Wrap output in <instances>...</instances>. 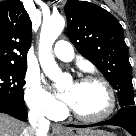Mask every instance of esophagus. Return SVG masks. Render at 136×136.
Returning a JSON list of instances; mask_svg holds the SVG:
<instances>
[{"label":"esophagus","instance_id":"34e87169","mask_svg":"<svg viewBox=\"0 0 136 136\" xmlns=\"http://www.w3.org/2000/svg\"><path fill=\"white\" fill-rule=\"evenodd\" d=\"M54 133H64L66 130L61 124H54L52 127Z\"/></svg>","mask_w":136,"mask_h":136}]
</instances>
